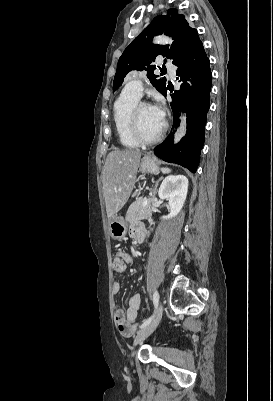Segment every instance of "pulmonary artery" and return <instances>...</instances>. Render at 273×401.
Here are the masks:
<instances>
[{
  "label": "pulmonary artery",
  "instance_id": "pulmonary-artery-1",
  "mask_svg": "<svg viewBox=\"0 0 273 401\" xmlns=\"http://www.w3.org/2000/svg\"><path fill=\"white\" fill-rule=\"evenodd\" d=\"M164 66H162V69L166 72H177L179 69V66L177 63H172V60L170 58H167L165 60ZM172 80H175V76H170ZM145 86V83L141 80H139V77H136V80H131L129 85H124L122 88V91L124 94H131L134 97L140 99L143 95V87Z\"/></svg>",
  "mask_w": 273,
  "mask_h": 401
}]
</instances>
